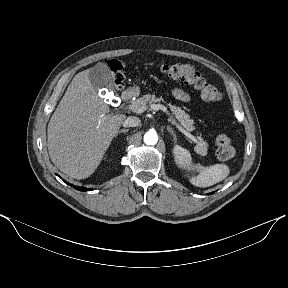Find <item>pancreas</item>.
Returning a JSON list of instances; mask_svg holds the SVG:
<instances>
[{
  "mask_svg": "<svg viewBox=\"0 0 288 288\" xmlns=\"http://www.w3.org/2000/svg\"><path fill=\"white\" fill-rule=\"evenodd\" d=\"M164 101L162 97H156L153 94H146L142 97L136 99L133 101V103L137 104L140 108H143L144 110H147L148 107L152 106L153 104L157 102ZM170 110L172 111L173 115L176 117V119L180 122V124L186 128L188 131H193V120L190 118V116L182 110L180 107H177L175 105L169 104ZM199 141L197 143V146L195 147V151L205 156L207 154V143L202 140L201 137L198 138Z\"/></svg>",
  "mask_w": 288,
  "mask_h": 288,
  "instance_id": "1",
  "label": "pancreas"
}]
</instances>
